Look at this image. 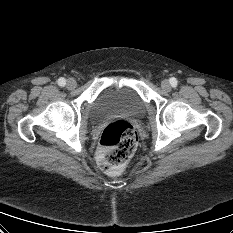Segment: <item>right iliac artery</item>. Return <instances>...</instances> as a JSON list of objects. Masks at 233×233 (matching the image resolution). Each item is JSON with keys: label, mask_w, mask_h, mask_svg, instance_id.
I'll return each instance as SVG.
<instances>
[{"label": "right iliac artery", "mask_w": 233, "mask_h": 233, "mask_svg": "<svg viewBox=\"0 0 233 233\" xmlns=\"http://www.w3.org/2000/svg\"><path fill=\"white\" fill-rule=\"evenodd\" d=\"M65 84H66V79L65 78L61 77V78L58 79V85L59 86L63 87V86H65Z\"/></svg>", "instance_id": "obj_1"}]
</instances>
